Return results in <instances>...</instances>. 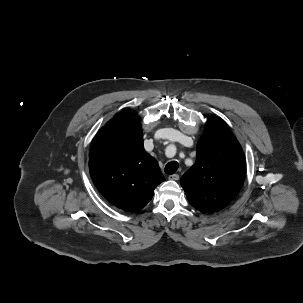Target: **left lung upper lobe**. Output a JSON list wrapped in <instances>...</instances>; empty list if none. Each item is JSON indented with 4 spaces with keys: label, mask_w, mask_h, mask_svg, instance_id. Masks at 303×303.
<instances>
[{
    "label": "left lung upper lobe",
    "mask_w": 303,
    "mask_h": 303,
    "mask_svg": "<svg viewBox=\"0 0 303 303\" xmlns=\"http://www.w3.org/2000/svg\"><path fill=\"white\" fill-rule=\"evenodd\" d=\"M242 148L226 124L210 118L197 144L195 164L180 183L189 203L202 212L221 210L236 197L245 179Z\"/></svg>",
    "instance_id": "1"
}]
</instances>
